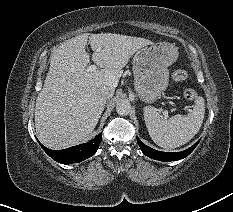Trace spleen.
Wrapping results in <instances>:
<instances>
[{
    "mask_svg": "<svg viewBox=\"0 0 233 212\" xmlns=\"http://www.w3.org/2000/svg\"><path fill=\"white\" fill-rule=\"evenodd\" d=\"M144 120L151 139L160 147L173 149L188 143L200 130L204 120L205 101L199 96L192 111L166 119L152 106L143 109Z\"/></svg>",
    "mask_w": 233,
    "mask_h": 212,
    "instance_id": "obj_1",
    "label": "spleen"
}]
</instances>
